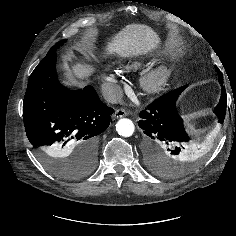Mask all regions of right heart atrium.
Here are the masks:
<instances>
[{"label":"right heart atrium","instance_id":"1","mask_svg":"<svg viewBox=\"0 0 236 236\" xmlns=\"http://www.w3.org/2000/svg\"><path fill=\"white\" fill-rule=\"evenodd\" d=\"M119 86L113 75H105L103 77V92L106 98L113 100L118 94Z\"/></svg>","mask_w":236,"mask_h":236}]
</instances>
